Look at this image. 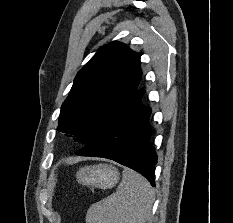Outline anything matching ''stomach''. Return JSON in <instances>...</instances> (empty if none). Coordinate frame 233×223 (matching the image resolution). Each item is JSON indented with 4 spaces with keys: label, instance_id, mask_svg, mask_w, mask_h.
<instances>
[{
    "label": "stomach",
    "instance_id": "obj_1",
    "mask_svg": "<svg viewBox=\"0 0 233 223\" xmlns=\"http://www.w3.org/2000/svg\"><path fill=\"white\" fill-rule=\"evenodd\" d=\"M77 181L88 187H100L110 189L118 183L120 173L114 165H85L80 167L76 173Z\"/></svg>",
    "mask_w": 233,
    "mask_h": 223
}]
</instances>
